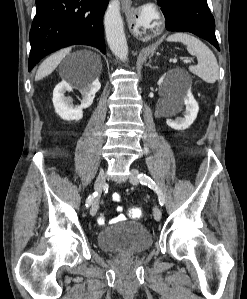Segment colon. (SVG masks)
Here are the masks:
<instances>
[{
	"label": "colon",
	"instance_id": "1",
	"mask_svg": "<svg viewBox=\"0 0 247 299\" xmlns=\"http://www.w3.org/2000/svg\"><path fill=\"white\" fill-rule=\"evenodd\" d=\"M128 215L130 218L139 219L142 217V211L137 207H133L128 210Z\"/></svg>",
	"mask_w": 247,
	"mask_h": 299
}]
</instances>
